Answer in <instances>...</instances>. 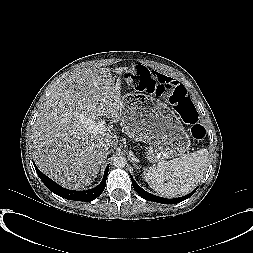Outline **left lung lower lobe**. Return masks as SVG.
I'll list each match as a JSON object with an SVG mask.
<instances>
[{
  "instance_id": "0a47b994",
  "label": "left lung lower lobe",
  "mask_w": 253,
  "mask_h": 253,
  "mask_svg": "<svg viewBox=\"0 0 253 253\" xmlns=\"http://www.w3.org/2000/svg\"><path fill=\"white\" fill-rule=\"evenodd\" d=\"M131 176V175H130ZM131 180H132V185L135 189V191L144 199L148 200V201H154V202H158V203H162V204H176L179 203L183 200H186L187 198H189L195 191L196 189L191 192L190 194L183 196V197H179V198H175V199H166V198H162V197H158L155 196L153 194H150L148 192H146L145 190H143L140 186H138V184L134 181L133 177L131 176Z\"/></svg>"
}]
</instances>
